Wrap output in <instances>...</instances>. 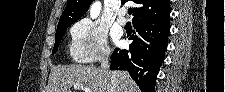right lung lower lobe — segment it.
<instances>
[{
    "label": "right lung lower lobe",
    "instance_id": "1",
    "mask_svg": "<svg viewBox=\"0 0 225 92\" xmlns=\"http://www.w3.org/2000/svg\"><path fill=\"white\" fill-rule=\"evenodd\" d=\"M170 12L133 21V42L129 50L116 48L111 56L112 70H126L142 92H154L156 76L164 60L170 32Z\"/></svg>",
    "mask_w": 225,
    "mask_h": 92
}]
</instances>
